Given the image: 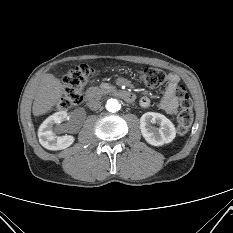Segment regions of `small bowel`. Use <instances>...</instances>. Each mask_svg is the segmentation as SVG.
Returning a JSON list of instances; mask_svg holds the SVG:
<instances>
[{
    "mask_svg": "<svg viewBox=\"0 0 233 233\" xmlns=\"http://www.w3.org/2000/svg\"><path fill=\"white\" fill-rule=\"evenodd\" d=\"M180 78L175 73H169L166 76V90L160 101V108L170 115L177 113L179 108L178 99L175 96V89L179 85ZM140 105L142 107H148L150 105V99L146 96L141 97Z\"/></svg>",
    "mask_w": 233,
    "mask_h": 233,
    "instance_id": "1",
    "label": "small bowel"
}]
</instances>
